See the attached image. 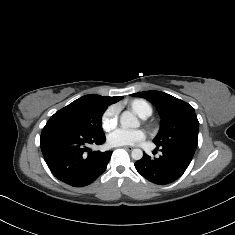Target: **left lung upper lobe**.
<instances>
[{
	"mask_svg": "<svg viewBox=\"0 0 235 235\" xmlns=\"http://www.w3.org/2000/svg\"><path fill=\"white\" fill-rule=\"evenodd\" d=\"M132 96L150 101L161 116L160 131L153 140L156 146L180 145L196 150L199 122L191 105L155 90L134 93Z\"/></svg>",
	"mask_w": 235,
	"mask_h": 235,
	"instance_id": "left-lung-upper-lobe-1",
	"label": "left lung upper lobe"
}]
</instances>
